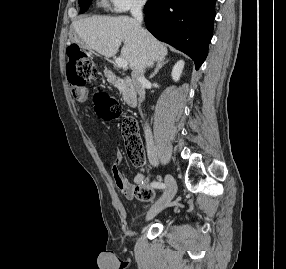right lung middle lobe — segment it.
Segmentation results:
<instances>
[{"label":"right lung middle lobe","instance_id":"right-lung-middle-lobe-1","mask_svg":"<svg viewBox=\"0 0 286 269\" xmlns=\"http://www.w3.org/2000/svg\"><path fill=\"white\" fill-rule=\"evenodd\" d=\"M157 1L158 0H148V2H147L145 7L149 8L150 6L155 5V3ZM90 2H91V0H79V5H80L82 13L85 12L88 9V6H89Z\"/></svg>","mask_w":286,"mask_h":269}]
</instances>
